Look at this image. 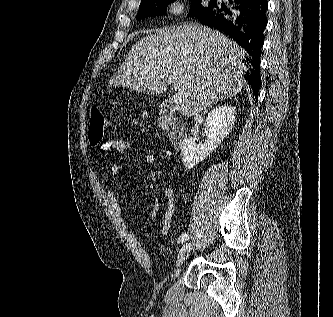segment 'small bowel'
I'll return each instance as SVG.
<instances>
[{"label":"small bowel","mask_w":333,"mask_h":317,"mask_svg":"<svg viewBox=\"0 0 333 317\" xmlns=\"http://www.w3.org/2000/svg\"><path fill=\"white\" fill-rule=\"evenodd\" d=\"M129 144L126 141H112L105 143L102 147L104 149L121 151L128 148ZM156 161V157L149 152L139 151L135 154L122 158L118 162L114 163L110 168L111 176L115 179L119 176L122 166L130 163V162H142L146 164H152ZM109 199L112 203H117L116 190H115V182L112 183L109 191H108ZM163 198L165 203V213L164 219L161 226V234L166 236L169 234L172 226V220L174 215V203H175V193L171 187H165L163 190ZM162 206V200L156 199L153 209H152V219L156 220L160 208Z\"/></svg>","instance_id":"1"}]
</instances>
